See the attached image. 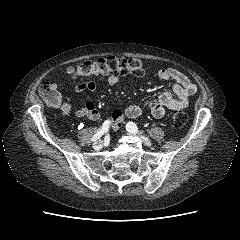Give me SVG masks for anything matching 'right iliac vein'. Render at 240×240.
<instances>
[{
    "label": "right iliac vein",
    "mask_w": 240,
    "mask_h": 240,
    "mask_svg": "<svg viewBox=\"0 0 240 240\" xmlns=\"http://www.w3.org/2000/svg\"><path fill=\"white\" fill-rule=\"evenodd\" d=\"M103 146V142L101 140L99 141H96L94 144H93V148L98 150V149H101Z\"/></svg>",
    "instance_id": "obj_1"
}]
</instances>
